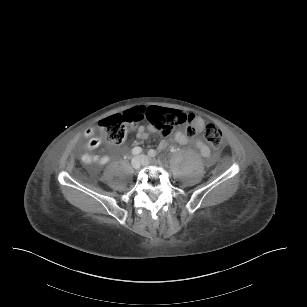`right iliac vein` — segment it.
Here are the masks:
<instances>
[{
	"mask_svg": "<svg viewBox=\"0 0 307 307\" xmlns=\"http://www.w3.org/2000/svg\"><path fill=\"white\" fill-rule=\"evenodd\" d=\"M131 166L133 169L138 170L141 167V160L139 157L135 156L131 160Z\"/></svg>",
	"mask_w": 307,
	"mask_h": 307,
	"instance_id": "obj_1",
	"label": "right iliac vein"
}]
</instances>
